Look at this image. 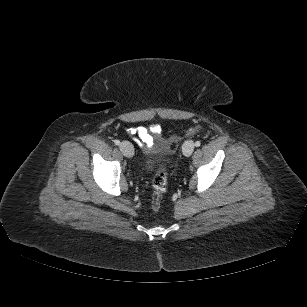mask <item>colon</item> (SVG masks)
I'll return each instance as SVG.
<instances>
[{"label": "colon", "mask_w": 307, "mask_h": 307, "mask_svg": "<svg viewBox=\"0 0 307 307\" xmlns=\"http://www.w3.org/2000/svg\"><path fill=\"white\" fill-rule=\"evenodd\" d=\"M168 182V172L166 166H161L153 178L154 194L152 198V208L159 210L161 206L162 194L166 191Z\"/></svg>", "instance_id": "obj_1"}]
</instances>
